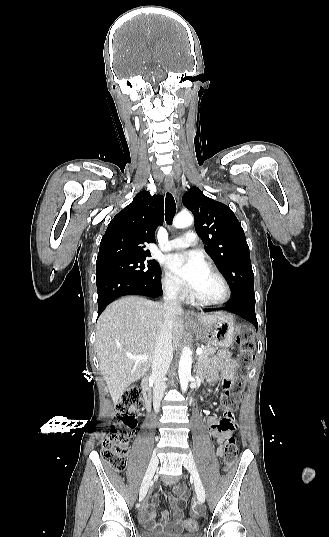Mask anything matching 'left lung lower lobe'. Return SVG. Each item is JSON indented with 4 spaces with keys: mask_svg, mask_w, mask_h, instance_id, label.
<instances>
[{
    "mask_svg": "<svg viewBox=\"0 0 329 537\" xmlns=\"http://www.w3.org/2000/svg\"><path fill=\"white\" fill-rule=\"evenodd\" d=\"M221 309L241 316L255 326L256 329L258 328L255 314V300L247 297L231 300Z\"/></svg>",
    "mask_w": 329,
    "mask_h": 537,
    "instance_id": "1",
    "label": "left lung lower lobe"
}]
</instances>
